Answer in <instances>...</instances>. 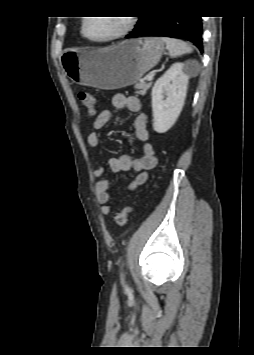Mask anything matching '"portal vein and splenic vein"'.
<instances>
[{
    "label": "portal vein and splenic vein",
    "instance_id": "portal-vein-and-splenic-vein-1",
    "mask_svg": "<svg viewBox=\"0 0 254 355\" xmlns=\"http://www.w3.org/2000/svg\"><path fill=\"white\" fill-rule=\"evenodd\" d=\"M152 79H153V76H152V75H148V76H147V80L150 81V80H152Z\"/></svg>",
    "mask_w": 254,
    "mask_h": 355
}]
</instances>
